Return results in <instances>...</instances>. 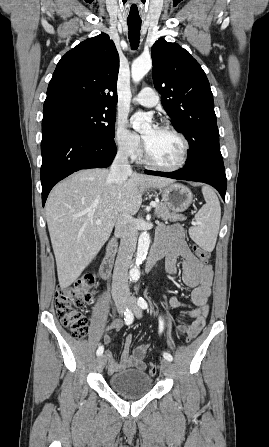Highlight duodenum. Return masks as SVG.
Instances as JSON below:
<instances>
[{
	"label": "duodenum",
	"mask_w": 269,
	"mask_h": 447,
	"mask_svg": "<svg viewBox=\"0 0 269 447\" xmlns=\"http://www.w3.org/2000/svg\"><path fill=\"white\" fill-rule=\"evenodd\" d=\"M115 250H116V242L114 240H112L107 247V251L103 258L101 268H100L101 276L104 279H107L111 274L113 263H114ZM162 255H163V252L161 250L153 248L150 251L148 259H147L146 271H150L155 266V264L160 260Z\"/></svg>",
	"instance_id": "410a0bca"
}]
</instances>
